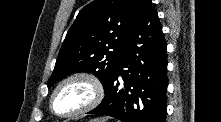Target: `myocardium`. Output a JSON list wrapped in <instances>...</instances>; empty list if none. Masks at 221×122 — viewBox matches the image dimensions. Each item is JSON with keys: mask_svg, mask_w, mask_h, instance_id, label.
<instances>
[{"mask_svg": "<svg viewBox=\"0 0 221 122\" xmlns=\"http://www.w3.org/2000/svg\"><path fill=\"white\" fill-rule=\"evenodd\" d=\"M74 81H81L89 85V87L91 88V98L89 102L85 106L80 108L79 110L71 112V113L57 112L54 108V98L56 94L63 86ZM104 95H105L104 86L101 80L96 75L90 72H83V71L75 72V73L67 75L56 84V86L54 87L50 95L49 107H50L51 112L58 117H61V118L78 117L96 108L102 102Z\"/></svg>", "mask_w": 221, "mask_h": 122, "instance_id": "obj_1", "label": "myocardium"}]
</instances>
